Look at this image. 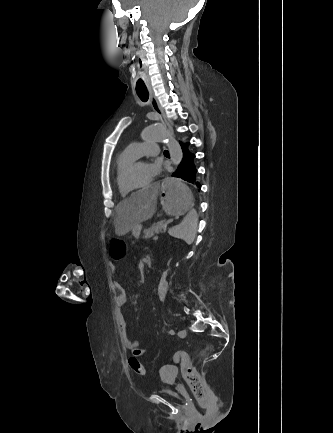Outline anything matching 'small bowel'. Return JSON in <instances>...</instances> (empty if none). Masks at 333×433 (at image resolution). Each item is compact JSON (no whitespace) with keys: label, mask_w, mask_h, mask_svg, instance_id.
Listing matches in <instances>:
<instances>
[{"label":"small bowel","mask_w":333,"mask_h":433,"mask_svg":"<svg viewBox=\"0 0 333 433\" xmlns=\"http://www.w3.org/2000/svg\"><path fill=\"white\" fill-rule=\"evenodd\" d=\"M163 288H164L163 298L160 300H163L166 293H167L168 280H167V284ZM114 293H115V297H114L115 305L119 309H121V307L127 301V296H126V290H125L124 286L118 280L114 281ZM118 324H119V328H120L121 341H122L123 346L125 348H127L128 350L132 351V353H133L132 357L136 358L138 360V357L142 356L146 352V349L140 346L139 341L133 340L129 336L127 321L121 312L118 315Z\"/></svg>","instance_id":"small-bowel-1"}]
</instances>
